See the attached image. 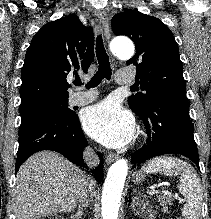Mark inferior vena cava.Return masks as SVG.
<instances>
[{
  "label": "inferior vena cava",
  "mask_w": 211,
  "mask_h": 219,
  "mask_svg": "<svg viewBox=\"0 0 211 219\" xmlns=\"http://www.w3.org/2000/svg\"><path fill=\"white\" fill-rule=\"evenodd\" d=\"M84 160L89 167H95L99 164V157L93 148H86L83 153ZM88 180V188L84 191L79 200V208L85 207L89 204L93 194L92 187L95 181L91 177H87Z\"/></svg>",
  "instance_id": "obj_1"
}]
</instances>
